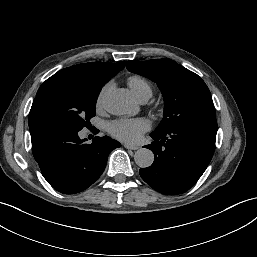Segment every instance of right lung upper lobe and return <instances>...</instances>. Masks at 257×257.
Returning <instances> with one entry per match:
<instances>
[{
	"mask_svg": "<svg viewBox=\"0 0 257 257\" xmlns=\"http://www.w3.org/2000/svg\"><path fill=\"white\" fill-rule=\"evenodd\" d=\"M125 61L118 63L91 62L78 64L60 71L84 79L93 85H105L113 76L125 66Z\"/></svg>",
	"mask_w": 257,
	"mask_h": 257,
	"instance_id": "obj_1",
	"label": "right lung upper lobe"
}]
</instances>
